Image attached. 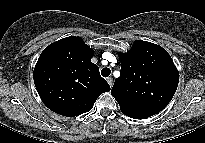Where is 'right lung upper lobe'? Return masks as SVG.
I'll return each instance as SVG.
<instances>
[{
  "label": "right lung upper lobe",
  "instance_id": "1",
  "mask_svg": "<svg viewBox=\"0 0 205 143\" xmlns=\"http://www.w3.org/2000/svg\"><path fill=\"white\" fill-rule=\"evenodd\" d=\"M94 51L80 37H67L41 53L33 72L44 104L53 112L74 117L90 111L110 86L91 62Z\"/></svg>",
  "mask_w": 205,
  "mask_h": 143
}]
</instances>
